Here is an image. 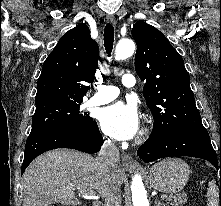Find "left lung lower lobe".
Returning a JSON list of instances; mask_svg holds the SVG:
<instances>
[{
  "label": "left lung lower lobe",
  "mask_w": 221,
  "mask_h": 206,
  "mask_svg": "<svg viewBox=\"0 0 221 206\" xmlns=\"http://www.w3.org/2000/svg\"><path fill=\"white\" fill-rule=\"evenodd\" d=\"M137 155L146 163L172 156L197 157L211 162L218 169L216 152L206 130L180 131L161 136H150L139 147Z\"/></svg>",
  "instance_id": "obj_1"
}]
</instances>
